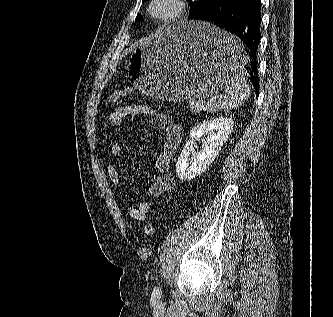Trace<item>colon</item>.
Instances as JSON below:
<instances>
[{
	"instance_id": "colon-1",
	"label": "colon",
	"mask_w": 333,
	"mask_h": 317,
	"mask_svg": "<svg viewBox=\"0 0 333 317\" xmlns=\"http://www.w3.org/2000/svg\"><path fill=\"white\" fill-rule=\"evenodd\" d=\"M131 93H132V90L129 88H122V89L115 90L109 95L107 102L115 103L120 98L128 96ZM143 231L146 235L151 236L154 234V226L152 225V223L146 222L143 226Z\"/></svg>"
}]
</instances>
